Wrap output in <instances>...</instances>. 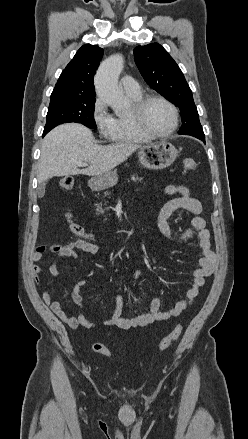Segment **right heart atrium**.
<instances>
[{"instance_id": "1", "label": "right heart atrium", "mask_w": 248, "mask_h": 439, "mask_svg": "<svg viewBox=\"0 0 248 439\" xmlns=\"http://www.w3.org/2000/svg\"><path fill=\"white\" fill-rule=\"evenodd\" d=\"M92 118L99 131L104 138H110L112 135L115 118L108 111L107 105L102 98H97L92 109Z\"/></svg>"}]
</instances>
